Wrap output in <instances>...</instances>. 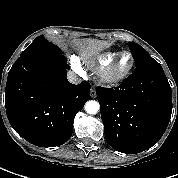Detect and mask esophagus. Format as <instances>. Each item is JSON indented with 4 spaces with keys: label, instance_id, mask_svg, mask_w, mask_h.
<instances>
[{
    "label": "esophagus",
    "instance_id": "esophagus-1",
    "mask_svg": "<svg viewBox=\"0 0 178 178\" xmlns=\"http://www.w3.org/2000/svg\"><path fill=\"white\" fill-rule=\"evenodd\" d=\"M90 96L92 98H96V96H97V92H96V89L94 87H92L91 90H90Z\"/></svg>",
    "mask_w": 178,
    "mask_h": 178
}]
</instances>
